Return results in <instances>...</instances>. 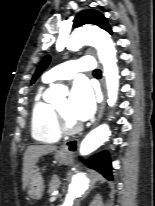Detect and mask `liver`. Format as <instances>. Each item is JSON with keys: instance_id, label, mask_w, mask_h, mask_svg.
<instances>
[{"instance_id": "6515ba94", "label": "liver", "mask_w": 155, "mask_h": 206, "mask_svg": "<svg viewBox=\"0 0 155 206\" xmlns=\"http://www.w3.org/2000/svg\"><path fill=\"white\" fill-rule=\"evenodd\" d=\"M57 147L54 145H31L28 146L23 159V188L28 185L29 179L36 168V162L39 157L47 155L56 151Z\"/></svg>"}]
</instances>
